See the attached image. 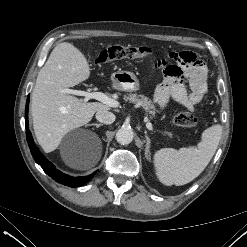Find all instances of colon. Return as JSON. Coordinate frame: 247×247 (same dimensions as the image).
<instances>
[{"instance_id":"obj_1","label":"colon","mask_w":247,"mask_h":247,"mask_svg":"<svg viewBox=\"0 0 247 247\" xmlns=\"http://www.w3.org/2000/svg\"><path fill=\"white\" fill-rule=\"evenodd\" d=\"M152 50L148 47H134L115 45L104 49L98 58L100 63H105L118 59H134L150 56ZM173 122L181 127L194 128L198 124V119L194 113L190 111H180L173 116Z\"/></svg>"}]
</instances>
